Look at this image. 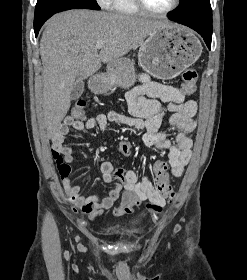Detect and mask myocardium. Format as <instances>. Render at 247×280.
Here are the masks:
<instances>
[{
    "mask_svg": "<svg viewBox=\"0 0 247 280\" xmlns=\"http://www.w3.org/2000/svg\"><path fill=\"white\" fill-rule=\"evenodd\" d=\"M136 7L143 13L151 15V16H155V17H165L169 14H171L172 12H174L179 4H180V0H173L172 5L167 8L166 10L163 11H155L150 9L146 3L144 2V0H133Z\"/></svg>",
    "mask_w": 247,
    "mask_h": 280,
    "instance_id": "f54148a6",
    "label": "myocardium"
}]
</instances>
